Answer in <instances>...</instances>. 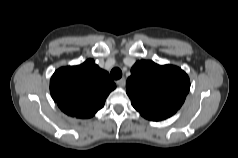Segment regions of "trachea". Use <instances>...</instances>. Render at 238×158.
I'll list each match as a JSON object with an SVG mask.
<instances>
[{"label": "trachea", "instance_id": "obj_1", "mask_svg": "<svg viewBox=\"0 0 238 158\" xmlns=\"http://www.w3.org/2000/svg\"><path fill=\"white\" fill-rule=\"evenodd\" d=\"M111 76L115 80H118V79H120L122 77V71L119 68H113L111 70Z\"/></svg>", "mask_w": 238, "mask_h": 158}]
</instances>
